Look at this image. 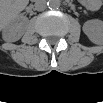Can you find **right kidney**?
Listing matches in <instances>:
<instances>
[{
  "instance_id": "ca27d5eb",
  "label": "right kidney",
  "mask_w": 103,
  "mask_h": 103,
  "mask_svg": "<svg viewBox=\"0 0 103 103\" xmlns=\"http://www.w3.org/2000/svg\"><path fill=\"white\" fill-rule=\"evenodd\" d=\"M26 22V19L21 22H15L14 20L6 26H1L3 39L7 42H15L19 40L23 34V26Z\"/></svg>"
}]
</instances>
